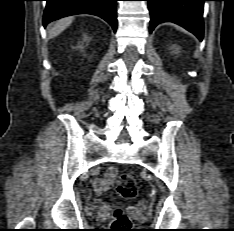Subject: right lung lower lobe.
Instances as JSON below:
<instances>
[{"mask_svg":"<svg viewBox=\"0 0 234 231\" xmlns=\"http://www.w3.org/2000/svg\"><path fill=\"white\" fill-rule=\"evenodd\" d=\"M47 5L43 15V25L49 22L75 14H93L106 20L117 29V0H46Z\"/></svg>","mask_w":234,"mask_h":231,"instance_id":"1","label":"right lung lower lobe"}]
</instances>
